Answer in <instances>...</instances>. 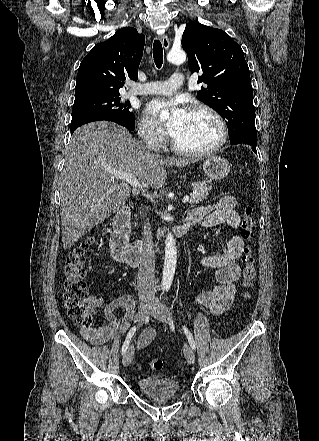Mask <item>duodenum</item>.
I'll use <instances>...</instances> for the list:
<instances>
[{"label":"duodenum","instance_id":"1","mask_svg":"<svg viewBox=\"0 0 319 441\" xmlns=\"http://www.w3.org/2000/svg\"><path fill=\"white\" fill-rule=\"evenodd\" d=\"M131 205L123 206L114 217L113 232L110 238V251L112 257L131 267H136L154 248H157L156 240H144L129 243ZM188 226L183 222L172 229L176 237L186 233Z\"/></svg>","mask_w":319,"mask_h":441}]
</instances>
